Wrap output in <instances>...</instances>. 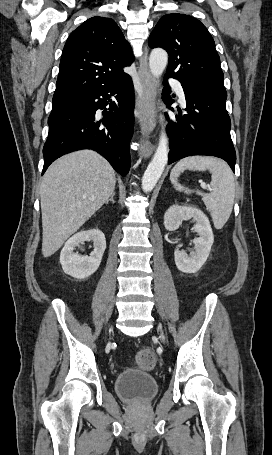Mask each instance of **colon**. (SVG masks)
<instances>
[{
    "label": "colon",
    "instance_id": "obj_1",
    "mask_svg": "<svg viewBox=\"0 0 272 455\" xmlns=\"http://www.w3.org/2000/svg\"><path fill=\"white\" fill-rule=\"evenodd\" d=\"M155 362H156L155 355L153 351L149 348H144L140 350L135 357V363L137 367L143 370L152 369L155 365Z\"/></svg>",
    "mask_w": 272,
    "mask_h": 455
}]
</instances>
